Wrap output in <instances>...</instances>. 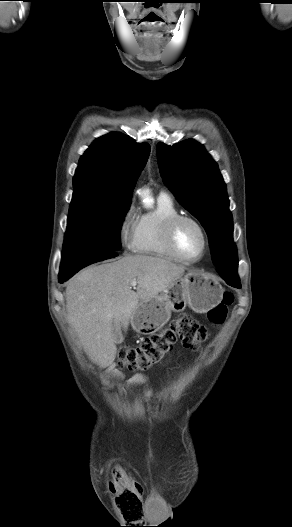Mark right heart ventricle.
<instances>
[{
  "label": "right heart ventricle",
  "instance_id": "obj_1",
  "mask_svg": "<svg viewBox=\"0 0 292 527\" xmlns=\"http://www.w3.org/2000/svg\"><path fill=\"white\" fill-rule=\"evenodd\" d=\"M179 210L168 195L158 197L156 207L138 216L132 250L138 254L175 259L164 242L165 226Z\"/></svg>",
  "mask_w": 292,
  "mask_h": 527
}]
</instances>
